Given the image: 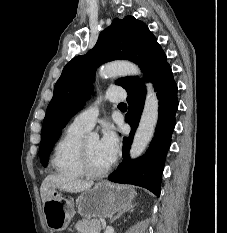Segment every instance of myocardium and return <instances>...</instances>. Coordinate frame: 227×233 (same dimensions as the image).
Listing matches in <instances>:
<instances>
[{
	"instance_id": "1",
	"label": "myocardium",
	"mask_w": 227,
	"mask_h": 233,
	"mask_svg": "<svg viewBox=\"0 0 227 233\" xmlns=\"http://www.w3.org/2000/svg\"><path fill=\"white\" fill-rule=\"evenodd\" d=\"M79 162H80V166L84 174L90 177L105 176L113 167V162H111L108 166H106L103 169L94 168L92 164L90 163L85 142L81 143V146L79 149Z\"/></svg>"
}]
</instances>
